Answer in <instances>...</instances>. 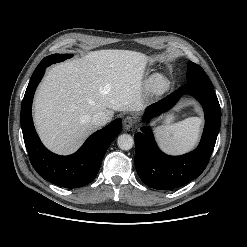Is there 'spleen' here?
Instances as JSON below:
<instances>
[{
	"label": "spleen",
	"instance_id": "1",
	"mask_svg": "<svg viewBox=\"0 0 247 247\" xmlns=\"http://www.w3.org/2000/svg\"><path fill=\"white\" fill-rule=\"evenodd\" d=\"M202 120L189 117L172 125L156 128L155 134L160 148L169 154L185 153L196 145Z\"/></svg>",
	"mask_w": 247,
	"mask_h": 247
}]
</instances>
